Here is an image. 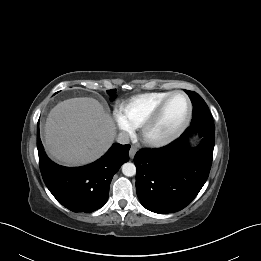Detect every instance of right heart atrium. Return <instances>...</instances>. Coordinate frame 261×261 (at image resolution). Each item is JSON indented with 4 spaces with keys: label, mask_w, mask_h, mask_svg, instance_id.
Returning a JSON list of instances; mask_svg holds the SVG:
<instances>
[{
    "label": "right heart atrium",
    "mask_w": 261,
    "mask_h": 261,
    "mask_svg": "<svg viewBox=\"0 0 261 261\" xmlns=\"http://www.w3.org/2000/svg\"><path fill=\"white\" fill-rule=\"evenodd\" d=\"M114 119L121 134L129 135L132 133V128L129 126V124L127 123V121L125 120V118L120 112H116L114 114Z\"/></svg>",
    "instance_id": "obj_1"
}]
</instances>
